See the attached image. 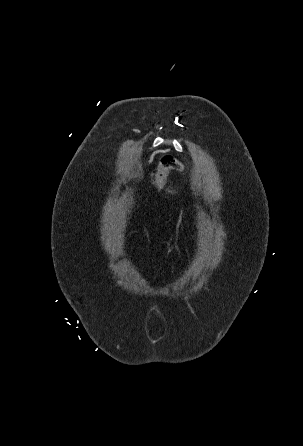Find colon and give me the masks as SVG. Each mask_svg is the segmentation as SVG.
Wrapping results in <instances>:
<instances>
[{
  "mask_svg": "<svg viewBox=\"0 0 303 446\" xmlns=\"http://www.w3.org/2000/svg\"><path fill=\"white\" fill-rule=\"evenodd\" d=\"M182 168L181 163L172 155L165 154L161 157L159 167L155 175L154 186L157 190H163L168 175L173 171H179Z\"/></svg>",
  "mask_w": 303,
  "mask_h": 446,
  "instance_id": "1",
  "label": "colon"
}]
</instances>
